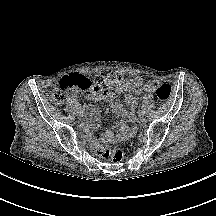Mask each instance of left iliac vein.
Returning a JSON list of instances; mask_svg holds the SVG:
<instances>
[{
	"label": "left iliac vein",
	"mask_w": 216,
	"mask_h": 216,
	"mask_svg": "<svg viewBox=\"0 0 216 216\" xmlns=\"http://www.w3.org/2000/svg\"><path fill=\"white\" fill-rule=\"evenodd\" d=\"M140 118V121L141 122H144L145 121V113L142 111V113H141V117H139Z\"/></svg>",
	"instance_id": "left-iliac-vein-1"
}]
</instances>
